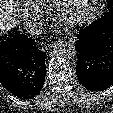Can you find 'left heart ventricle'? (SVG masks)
Segmentation results:
<instances>
[{"mask_svg":"<svg viewBox=\"0 0 113 113\" xmlns=\"http://www.w3.org/2000/svg\"><path fill=\"white\" fill-rule=\"evenodd\" d=\"M82 1L83 0H71L70 4L68 6V9H67V15L68 16L74 15Z\"/></svg>","mask_w":113,"mask_h":113,"instance_id":"b2bd125f","label":"left heart ventricle"}]
</instances>
